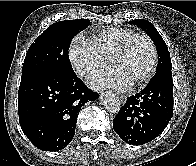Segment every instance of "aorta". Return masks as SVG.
Listing matches in <instances>:
<instances>
[{"label":"aorta","mask_w":196,"mask_h":166,"mask_svg":"<svg viewBox=\"0 0 196 166\" xmlns=\"http://www.w3.org/2000/svg\"><path fill=\"white\" fill-rule=\"evenodd\" d=\"M102 103L107 111L110 113H118L121 108L120 101L118 97L112 93H107L103 99Z\"/></svg>","instance_id":"obj_1"}]
</instances>
